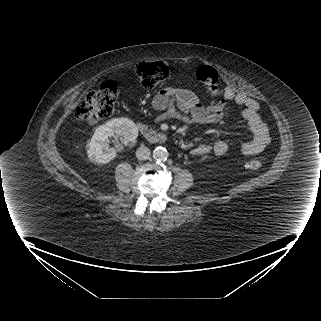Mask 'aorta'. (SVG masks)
<instances>
[{
    "mask_svg": "<svg viewBox=\"0 0 321 321\" xmlns=\"http://www.w3.org/2000/svg\"><path fill=\"white\" fill-rule=\"evenodd\" d=\"M168 157V151L162 146H158L153 151V158L158 161H165Z\"/></svg>",
    "mask_w": 321,
    "mask_h": 321,
    "instance_id": "1",
    "label": "aorta"
}]
</instances>
